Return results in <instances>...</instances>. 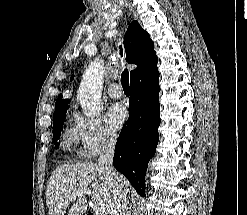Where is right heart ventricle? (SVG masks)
Returning <instances> with one entry per match:
<instances>
[{
    "mask_svg": "<svg viewBox=\"0 0 247 215\" xmlns=\"http://www.w3.org/2000/svg\"><path fill=\"white\" fill-rule=\"evenodd\" d=\"M65 143L67 146L71 147V146H74L76 145L78 142H77V139L75 138L74 134H73V130L71 131H68L66 134H65Z\"/></svg>",
    "mask_w": 247,
    "mask_h": 215,
    "instance_id": "1",
    "label": "right heart ventricle"
}]
</instances>
